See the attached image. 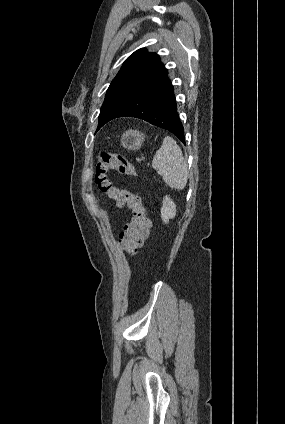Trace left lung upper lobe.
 <instances>
[{
	"instance_id": "obj_1",
	"label": "left lung upper lobe",
	"mask_w": 285,
	"mask_h": 424,
	"mask_svg": "<svg viewBox=\"0 0 285 424\" xmlns=\"http://www.w3.org/2000/svg\"><path fill=\"white\" fill-rule=\"evenodd\" d=\"M165 70L156 53L141 48L130 55L111 82L99 114L97 131L105 124L110 112L129 96L135 94Z\"/></svg>"
}]
</instances>
